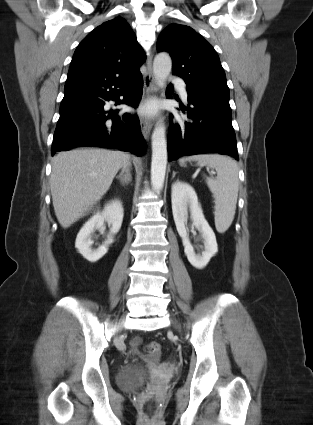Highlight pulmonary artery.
<instances>
[{
	"instance_id": "obj_1",
	"label": "pulmonary artery",
	"mask_w": 313,
	"mask_h": 425,
	"mask_svg": "<svg viewBox=\"0 0 313 425\" xmlns=\"http://www.w3.org/2000/svg\"><path fill=\"white\" fill-rule=\"evenodd\" d=\"M172 83H175V84H177V85H179L180 86V94H181V96L183 97V99H187V97H188V95H187V91H186V89L184 88V86L182 85V81L180 80V79H178V78H173L172 80Z\"/></svg>"
}]
</instances>
